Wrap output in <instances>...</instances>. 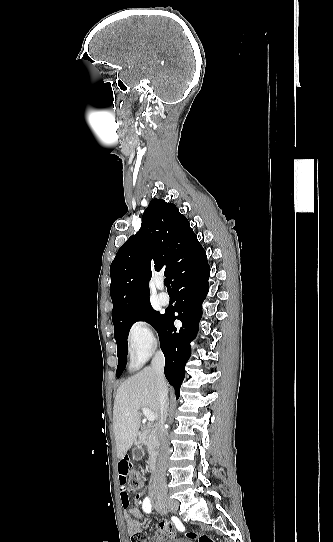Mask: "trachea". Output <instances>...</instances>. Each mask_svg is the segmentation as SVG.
Here are the masks:
<instances>
[{"label": "trachea", "instance_id": "obj_1", "mask_svg": "<svg viewBox=\"0 0 333 542\" xmlns=\"http://www.w3.org/2000/svg\"><path fill=\"white\" fill-rule=\"evenodd\" d=\"M164 284L166 285V287H167L168 289H170V280H169V279H167V278L164 279Z\"/></svg>", "mask_w": 333, "mask_h": 542}]
</instances>
